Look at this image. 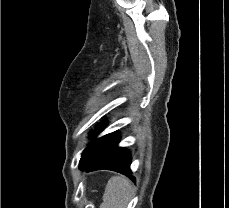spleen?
Wrapping results in <instances>:
<instances>
[{
	"label": "spleen",
	"instance_id": "spleen-1",
	"mask_svg": "<svg viewBox=\"0 0 229 208\" xmlns=\"http://www.w3.org/2000/svg\"><path fill=\"white\" fill-rule=\"evenodd\" d=\"M131 200L129 180L125 176L110 178L100 208H127Z\"/></svg>",
	"mask_w": 229,
	"mask_h": 208
}]
</instances>
